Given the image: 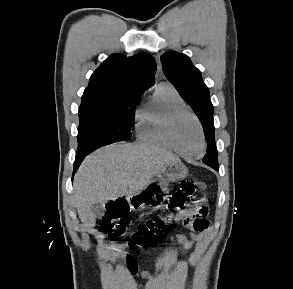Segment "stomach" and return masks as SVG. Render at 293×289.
I'll return each mask as SVG.
<instances>
[{"instance_id": "1", "label": "stomach", "mask_w": 293, "mask_h": 289, "mask_svg": "<svg viewBox=\"0 0 293 289\" xmlns=\"http://www.w3.org/2000/svg\"><path fill=\"white\" fill-rule=\"evenodd\" d=\"M187 175L188 169L181 161L166 164L139 193L128 197L132 210L160 209L167 198L169 183L184 179Z\"/></svg>"}]
</instances>
